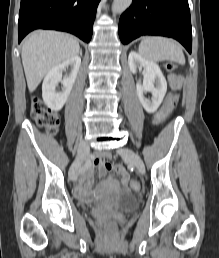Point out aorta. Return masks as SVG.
Masks as SVG:
<instances>
[{
	"instance_id": "obj_1",
	"label": "aorta",
	"mask_w": 219,
	"mask_h": 258,
	"mask_svg": "<svg viewBox=\"0 0 219 258\" xmlns=\"http://www.w3.org/2000/svg\"><path fill=\"white\" fill-rule=\"evenodd\" d=\"M132 3V0H114L112 5L113 14H121L124 12Z\"/></svg>"
}]
</instances>
